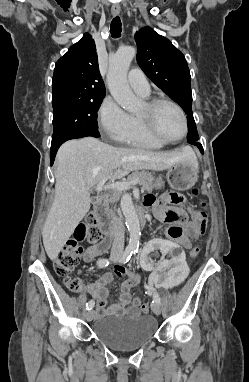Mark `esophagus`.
I'll return each mask as SVG.
<instances>
[{
    "label": "esophagus",
    "instance_id": "obj_1",
    "mask_svg": "<svg viewBox=\"0 0 249 382\" xmlns=\"http://www.w3.org/2000/svg\"><path fill=\"white\" fill-rule=\"evenodd\" d=\"M111 13L113 16H117L120 13V6L119 5H113L111 8Z\"/></svg>",
    "mask_w": 249,
    "mask_h": 382
}]
</instances>
